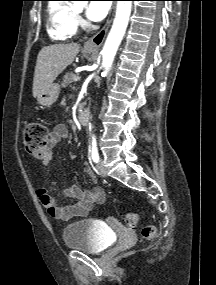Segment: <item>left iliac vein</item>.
Instances as JSON below:
<instances>
[{
  "mask_svg": "<svg viewBox=\"0 0 216 285\" xmlns=\"http://www.w3.org/2000/svg\"><path fill=\"white\" fill-rule=\"evenodd\" d=\"M96 168H97V171H98L101 175L106 176V170H105L104 163H103L102 160H100L99 162H97Z\"/></svg>",
  "mask_w": 216,
  "mask_h": 285,
  "instance_id": "left-iliac-vein-1",
  "label": "left iliac vein"
}]
</instances>
